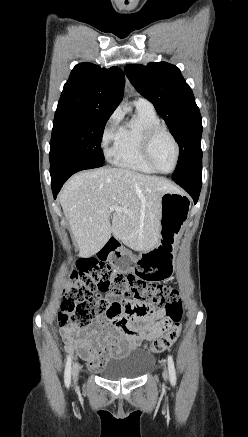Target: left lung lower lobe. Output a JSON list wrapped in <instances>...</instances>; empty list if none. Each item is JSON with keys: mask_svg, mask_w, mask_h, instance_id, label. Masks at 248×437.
<instances>
[{"mask_svg": "<svg viewBox=\"0 0 248 437\" xmlns=\"http://www.w3.org/2000/svg\"><path fill=\"white\" fill-rule=\"evenodd\" d=\"M174 181L191 195L194 203L196 204L202 185V174L196 177H190L186 179H174Z\"/></svg>", "mask_w": 248, "mask_h": 437, "instance_id": "obj_1", "label": "left lung lower lobe"}]
</instances>
